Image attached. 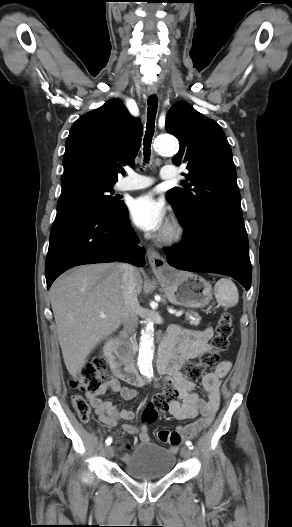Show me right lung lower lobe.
Wrapping results in <instances>:
<instances>
[{"mask_svg": "<svg viewBox=\"0 0 292 527\" xmlns=\"http://www.w3.org/2000/svg\"><path fill=\"white\" fill-rule=\"evenodd\" d=\"M128 222L126 206L117 215H110L83 203L65 202L57 206L45 276L47 288L64 271L74 266L114 262L145 264V250Z\"/></svg>", "mask_w": 292, "mask_h": 527, "instance_id": "right-lung-lower-lobe-1", "label": "right lung lower lobe"}]
</instances>
